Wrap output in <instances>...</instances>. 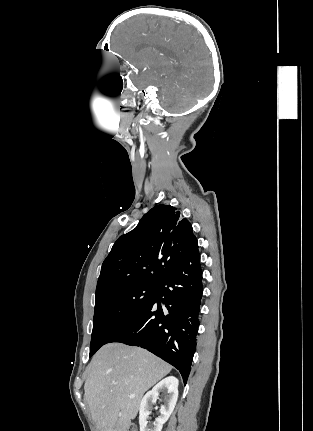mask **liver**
Segmentation results:
<instances>
[{
	"label": "liver",
	"instance_id": "1",
	"mask_svg": "<svg viewBox=\"0 0 313 431\" xmlns=\"http://www.w3.org/2000/svg\"><path fill=\"white\" fill-rule=\"evenodd\" d=\"M171 369L143 348L104 345L92 358L84 385V397L98 429L129 431L144 393Z\"/></svg>",
	"mask_w": 313,
	"mask_h": 431
}]
</instances>
